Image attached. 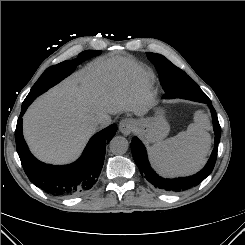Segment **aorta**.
<instances>
[{
	"label": "aorta",
	"instance_id": "aorta-1",
	"mask_svg": "<svg viewBox=\"0 0 245 245\" xmlns=\"http://www.w3.org/2000/svg\"><path fill=\"white\" fill-rule=\"evenodd\" d=\"M129 148L128 140L122 136L114 137L110 142V150L113 154L121 155L127 152Z\"/></svg>",
	"mask_w": 245,
	"mask_h": 245
}]
</instances>
